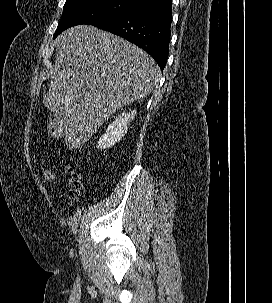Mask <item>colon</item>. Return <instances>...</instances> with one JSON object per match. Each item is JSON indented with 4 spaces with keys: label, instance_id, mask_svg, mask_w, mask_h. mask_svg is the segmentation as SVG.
Instances as JSON below:
<instances>
[{
    "label": "colon",
    "instance_id": "5ec220e1",
    "mask_svg": "<svg viewBox=\"0 0 272 303\" xmlns=\"http://www.w3.org/2000/svg\"><path fill=\"white\" fill-rule=\"evenodd\" d=\"M48 134L50 137L57 139L60 136L58 121L55 118L50 119L48 123ZM68 174V195L72 200H78L82 193V182L79 174L75 171L72 166L67 168ZM40 177L47 182L55 180V170L50 166H42L39 169Z\"/></svg>",
    "mask_w": 272,
    "mask_h": 303
}]
</instances>
